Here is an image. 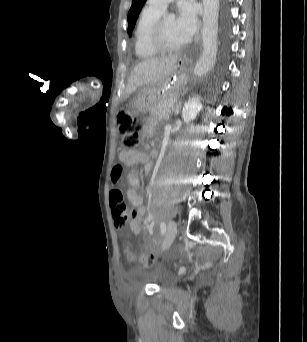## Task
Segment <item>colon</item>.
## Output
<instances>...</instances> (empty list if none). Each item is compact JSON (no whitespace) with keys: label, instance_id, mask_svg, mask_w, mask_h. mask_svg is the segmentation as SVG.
Here are the masks:
<instances>
[{"label":"colon","instance_id":"colon-1","mask_svg":"<svg viewBox=\"0 0 307 342\" xmlns=\"http://www.w3.org/2000/svg\"><path fill=\"white\" fill-rule=\"evenodd\" d=\"M117 128L119 135L122 137V144L125 148L138 147L141 141L142 124L132 117L128 110L122 109L118 112ZM123 178V165L121 163H117L113 166L111 172L112 188L110 190L109 200L112 208L113 219L118 227L126 226L133 219L135 214V210L127 205L122 191L117 187ZM123 245L129 246L130 240L124 239ZM123 252L128 254L130 249L125 247ZM130 260L135 261L136 257L134 255H130ZM154 262L155 256L153 254H149L142 258L141 264L143 266H147Z\"/></svg>","mask_w":307,"mask_h":342}]
</instances>
